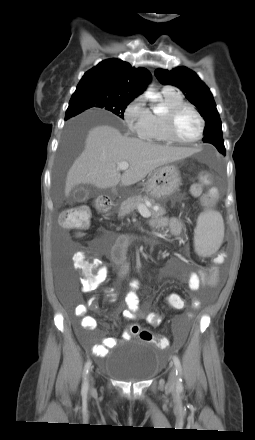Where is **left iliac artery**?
Returning a JSON list of instances; mask_svg holds the SVG:
<instances>
[{
  "instance_id": "obj_1",
  "label": "left iliac artery",
  "mask_w": 255,
  "mask_h": 440,
  "mask_svg": "<svg viewBox=\"0 0 255 440\" xmlns=\"http://www.w3.org/2000/svg\"><path fill=\"white\" fill-rule=\"evenodd\" d=\"M173 362H174V364L176 366L177 388L179 390H181L183 388L182 378H181V375H182L181 363H180V360H179V358L177 356H173Z\"/></svg>"
}]
</instances>
